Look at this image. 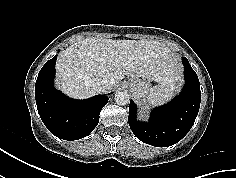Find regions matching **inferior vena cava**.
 <instances>
[{
    "instance_id": "1",
    "label": "inferior vena cava",
    "mask_w": 236,
    "mask_h": 178,
    "mask_svg": "<svg viewBox=\"0 0 236 178\" xmlns=\"http://www.w3.org/2000/svg\"><path fill=\"white\" fill-rule=\"evenodd\" d=\"M95 87L97 88V91L100 92H104L107 89V81L106 80H98L95 83Z\"/></svg>"
}]
</instances>
